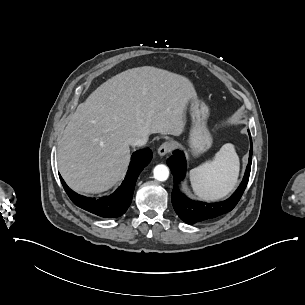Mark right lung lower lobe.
<instances>
[{
  "label": "right lung lower lobe",
  "mask_w": 305,
  "mask_h": 305,
  "mask_svg": "<svg viewBox=\"0 0 305 305\" xmlns=\"http://www.w3.org/2000/svg\"><path fill=\"white\" fill-rule=\"evenodd\" d=\"M151 159L152 151L149 148L135 152L132 155L127 175L121 186L110 196L99 199L87 198L75 193L66 185L61 176L60 179L67 195L78 207L101 217H119L130 206L136 180Z\"/></svg>",
  "instance_id": "1"
}]
</instances>
